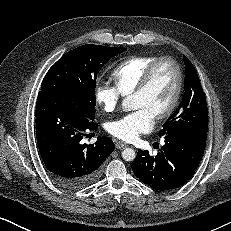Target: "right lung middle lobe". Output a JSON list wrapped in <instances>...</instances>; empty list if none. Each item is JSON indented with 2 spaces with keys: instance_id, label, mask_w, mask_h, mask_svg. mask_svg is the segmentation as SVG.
<instances>
[{
  "instance_id": "dd1d6c3e",
  "label": "right lung middle lobe",
  "mask_w": 231,
  "mask_h": 231,
  "mask_svg": "<svg viewBox=\"0 0 231 231\" xmlns=\"http://www.w3.org/2000/svg\"><path fill=\"white\" fill-rule=\"evenodd\" d=\"M126 48L82 45L64 54L45 75L40 92L72 102L89 120L95 116L97 74L112 57Z\"/></svg>"
}]
</instances>
